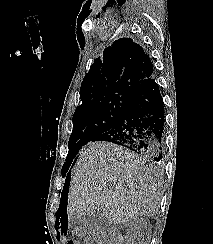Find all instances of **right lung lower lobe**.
I'll list each match as a JSON object with an SVG mask.
<instances>
[{
	"label": "right lung lower lobe",
	"mask_w": 213,
	"mask_h": 244,
	"mask_svg": "<svg viewBox=\"0 0 213 244\" xmlns=\"http://www.w3.org/2000/svg\"><path fill=\"white\" fill-rule=\"evenodd\" d=\"M91 141L112 142L130 149L150 161L159 162L162 159L164 142V103L155 79L152 78L131 99L123 115L112 129ZM70 171L71 169L66 173L62 197L69 188Z\"/></svg>",
	"instance_id": "98d812e1"
}]
</instances>
